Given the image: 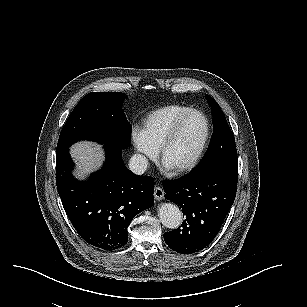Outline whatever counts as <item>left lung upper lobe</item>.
<instances>
[{"mask_svg": "<svg viewBox=\"0 0 307 307\" xmlns=\"http://www.w3.org/2000/svg\"><path fill=\"white\" fill-rule=\"evenodd\" d=\"M212 108L213 134L208 149L200 163L192 170L198 171L209 167L226 168L238 171L235 138L218 103L206 96Z\"/></svg>", "mask_w": 307, "mask_h": 307, "instance_id": "5c2ea615", "label": "left lung upper lobe"}]
</instances>
